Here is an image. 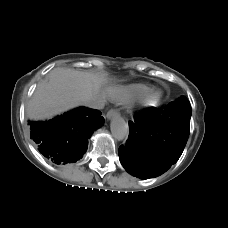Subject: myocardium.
I'll return each mask as SVG.
<instances>
[{
    "instance_id": "obj_1",
    "label": "myocardium",
    "mask_w": 228,
    "mask_h": 228,
    "mask_svg": "<svg viewBox=\"0 0 228 228\" xmlns=\"http://www.w3.org/2000/svg\"><path fill=\"white\" fill-rule=\"evenodd\" d=\"M162 99V92L157 89H150L142 96H140L136 103L133 105L135 110H144L155 107L159 104Z\"/></svg>"
}]
</instances>
